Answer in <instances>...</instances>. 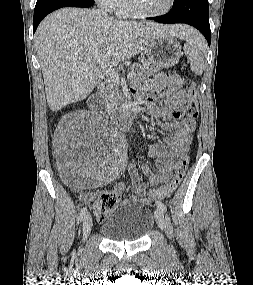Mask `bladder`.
I'll list each match as a JSON object with an SVG mask.
<instances>
[{
  "label": "bladder",
  "instance_id": "31cf9c89",
  "mask_svg": "<svg viewBox=\"0 0 253 285\" xmlns=\"http://www.w3.org/2000/svg\"><path fill=\"white\" fill-rule=\"evenodd\" d=\"M153 224V213L148 206L125 201L109 213L100 230L111 241L136 242L149 233Z\"/></svg>",
  "mask_w": 253,
  "mask_h": 285
}]
</instances>
